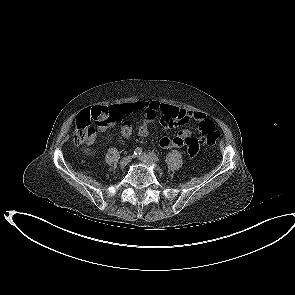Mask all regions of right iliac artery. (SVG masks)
I'll list each match as a JSON object with an SVG mask.
<instances>
[{
  "instance_id": "obj_1",
  "label": "right iliac artery",
  "mask_w": 295,
  "mask_h": 295,
  "mask_svg": "<svg viewBox=\"0 0 295 295\" xmlns=\"http://www.w3.org/2000/svg\"><path fill=\"white\" fill-rule=\"evenodd\" d=\"M142 154V148L140 147H137L135 150H134V155L135 156H139Z\"/></svg>"
}]
</instances>
